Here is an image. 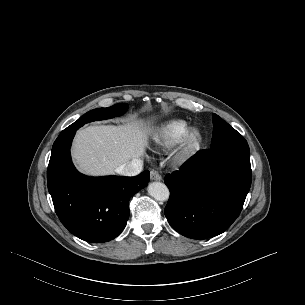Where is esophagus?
Wrapping results in <instances>:
<instances>
[{
  "instance_id": "obj_1",
  "label": "esophagus",
  "mask_w": 305,
  "mask_h": 305,
  "mask_svg": "<svg viewBox=\"0 0 305 305\" xmlns=\"http://www.w3.org/2000/svg\"><path fill=\"white\" fill-rule=\"evenodd\" d=\"M150 179L151 180H155V181H160L162 179V177H161V175L158 172L152 171L150 173Z\"/></svg>"
}]
</instances>
